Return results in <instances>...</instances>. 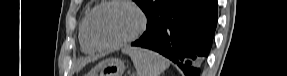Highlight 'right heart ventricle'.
Masks as SVG:
<instances>
[{"label": "right heart ventricle", "mask_w": 287, "mask_h": 76, "mask_svg": "<svg viewBox=\"0 0 287 76\" xmlns=\"http://www.w3.org/2000/svg\"><path fill=\"white\" fill-rule=\"evenodd\" d=\"M86 19L87 16H85L81 22L80 30H79V38H80V44L81 49L85 53H94L98 49L90 42L88 39L87 33H86Z\"/></svg>", "instance_id": "obj_1"}]
</instances>
